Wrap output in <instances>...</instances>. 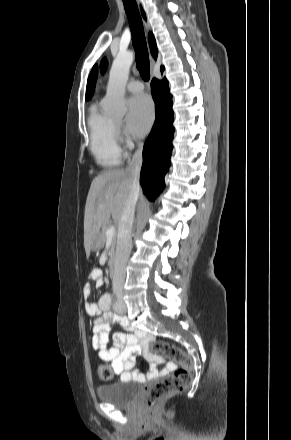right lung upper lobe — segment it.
I'll return each instance as SVG.
<instances>
[{"mask_svg":"<svg viewBox=\"0 0 291 440\" xmlns=\"http://www.w3.org/2000/svg\"><path fill=\"white\" fill-rule=\"evenodd\" d=\"M149 44H150L151 53H152L153 57L156 59L158 51H157L156 42H155V39H154L152 33H149ZM160 69L162 72L164 70V67L161 66ZM97 73H98L97 65H94V67L89 75L88 82H87V89H86V99L87 100H89L91 98L92 93L94 91Z\"/></svg>","mask_w":291,"mask_h":440,"instance_id":"obj_1","label":"right lung upper lobe"}]
</instances>
